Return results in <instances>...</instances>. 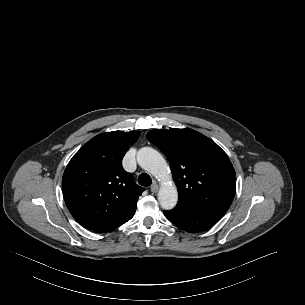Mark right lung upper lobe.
<instances>
[{
    "label": "right lung upper lobe",
    "mask_w": 305,
    "mask_h": 305,
    "mask_svg": "<svg viewBox=\"0 0 305 305\" xmlns=\"http://www.w3.org/2000/svg\"><path fill=\"white\" fill-rule=\"evenodd\" d=\"M140 132L113 131L89 140L70 160L62 178L63 196L84 227L108 232L130 220L143 188L122 167Z\"/></svg>",
    "instance_id": "right-lung-upper-lobe-1"
}]
</instances>
